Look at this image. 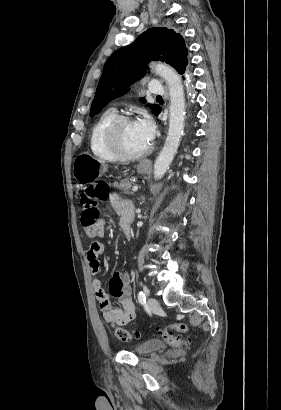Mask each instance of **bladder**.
Returning a JSON list of instances; mask_svg holds the SVG:
<instances>
[{"label":"bladder","mask_w":281,"mask_h":410,"mask_svg":"<svg viewBox=\"0 0 281 410\" xmlns=\"http://www.w3.org/2000/svg\"><path fill=\"white\" fill-rule=\"evenodd\" d=\"M165 348V343L159 340H148L134 348V352L138 355H147Z\"/></svg>","instance_id":"bladder-1"}]
</instances>
